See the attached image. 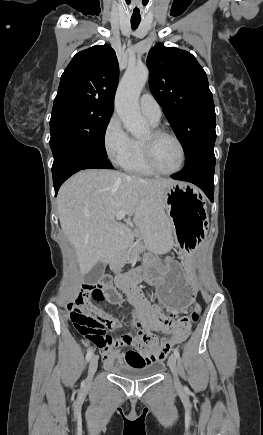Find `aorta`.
<instances>
[{"instance_id":"1","label":"aorta","mask_w":263,"mask_h":435,"mask_svg":"<svg viewBox=\"0 0 263 435\" xmlns=\"http://www.w3.org/2000/svg\"><path fill=\"white\" fill-rule=\"evenodd\" d=\"M149 77L146 66L130 68L124 74L116 93L115 109L124 127L133 136H141L148 131L142 117L138 100Z\"/></svg>"}]
</instances>
